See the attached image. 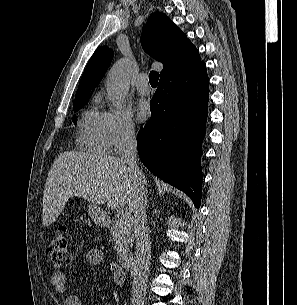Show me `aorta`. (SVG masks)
Masks as SVG:
<instances>
[{"label":"aorta","instance_id":"aorta-1","mask_svg":"<svg viewBox=\"0 0 297 305\" xmlns=\"http://www.w3.org/2000/svg\"><path fill=\"white\" fill-rule=\"evenodd\" d=\"M130 63L121 59L110 69L107 78V96L113 107L122 108L129 90Z\"/></svg>","mask_w":297,"mask_h":305}]
</instances>
